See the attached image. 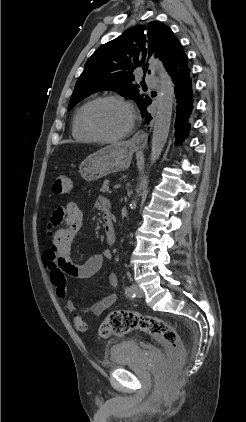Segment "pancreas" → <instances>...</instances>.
Instances as JSON below:
<instances>
[{
  "mask_svg": "<svg viewBox=\"0 0 246 422\" xmlns=\"http://www.w3.org/2000/svg\"><path fill=\"white\" fill-rule=\"evenodd\" d=\"M100 192L105 193V192H110L109 190V180H104L102 188L100 189Z\"/></svg>",
  "mask_w": 246,
  "mask_h": 422,
  "instance_id": "cf45deb5",
  "label": "pancreas"
}]
</instances>
